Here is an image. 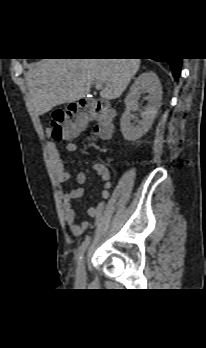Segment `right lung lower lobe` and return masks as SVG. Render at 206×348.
Returning a JSON list of instances; mask_svg holds the SVG:
<instances>
[{"mask_svg":"<svg viewBox=\"0 0 206 348\" xmlns=\"http://www.w3.org/2000/svg\"><path fill=\"white\" fill-rule=\"evenodd\" d=\"M164 60L166 62H168V64L171 67L174 79L176 81H178L180 70H181L182 59L181 58H167V59H164Z\"/></svg>","mask_w":206,"mask_h":348,"instance_id":"right-lung-lower-lobe-1","label":"right lung lower lobe"}]
</instances>
